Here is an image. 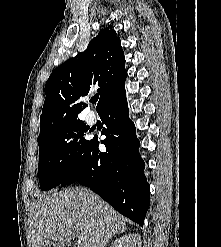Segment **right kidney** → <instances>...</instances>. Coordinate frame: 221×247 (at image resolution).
<instances>
[{
	"mask_svg": "<svg viewBox=\"0 0 221 247\" xmlns=\"http://www.w3.org/2000/svg\"><path fill=\"white\" fill-rule=\"evenodd\" d=\"M141 236L138 234H128L116 239L111 247H141Z\"/></svg>",
	"mask_w": 221,
	"mask_h": 247,
	"instance_id": "obj_1",
	"label": "right kidney"
}]
</instances>
